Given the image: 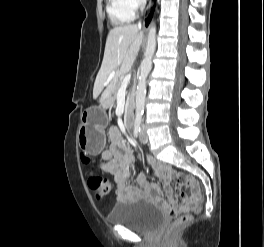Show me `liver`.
<instances>
[{
	"label": "liver",
	"instance_id": "liver-1",
	"mask_svg": "<svg viewBox=\"0 0 264 247\" xmlns=\"http://www.w3.org/2000/svg\"><path fill=\"white\" fill-rule=\"evenodd\" d=\"M143 40V32L137 25L115 27L110 30L104 51L101 68L97 74L93 97L97 98L106 86L111 73L115 76L110 80L106 90L103 92L100 102H105L119 77L127 74L138 55Z\"/></svg>",
	"mask_w": 264,
	"mask_h": 247
}]
</instances>
